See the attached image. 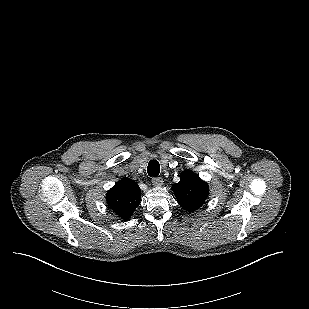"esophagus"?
Listing matches in <instances>:
<instances>
[{
	"mask_svg": "<svg viewBox=\"0 0 309 309\" xmlns=\"http://www.w3.org/2000/svg\"><path fill=\"white\" fill-rule=\"evenodd\" d=\"M152 183H153L154 186L160 187V186L163 185V180H162L161 177H153L152 178Z\"/></svg>",
	"mask_w": 309,
	"mask_h": 309,
	"instance_id": "1",
	"label": "esophagus"
}]
</instances>
